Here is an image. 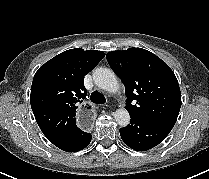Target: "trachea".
Returning a JSON list of instances; mask_svg holds the SVG:
<instances>
[{"instance_id": "1", "label": "trachea", "mask_w": 209, "mask_h": 179, "mask_svg": "<svg viewBox=\"0 0 209 179\" xmlns=\"http://www.w3.org/2000/svg\"><path fill=\"white\" fill-rule=\"evenodd\" d=\"M90 100L93 103H96V104H104L106 102V99H105L104 95L101 94L98 91L92 92L91 97H90Z\"/></svg>"}]
</instances>
